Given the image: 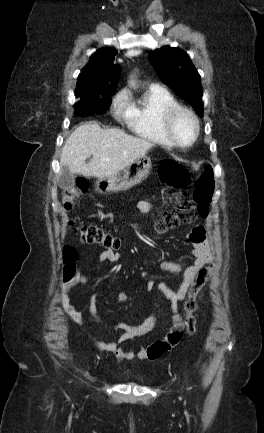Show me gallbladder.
Wrapping results in <instances>:
<instances>
[{"mask_svg": "<svg viewBox=\"0 0 264 433\" xmlns=\"http://www.w3.org/2000/svg\"><path fill=\"white\" fill-rule=\"evenodd\" d=\"M74 176L70 173L67 166H61L59 177H58V186L63 190H69L74 186Z\"/></svg>", "mask_w": 264, "mask_h": 433, "instance_id": "bac80fb5", "label": "gallbladder"}]
</instances>
